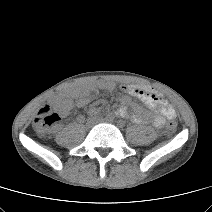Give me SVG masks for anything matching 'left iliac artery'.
I'll return each instance as SVG.
<instances>
[{"label": "left iliac artery", "mask_w": 212, "mask_h": 212, "mask_svg": "<svg viewBox=\"0 0 212 212\" xmlns=\"http://www.w3.org/2000/svg\"><path fill=\"white\" fill-rule=\"evenodd\" d=\"M118 125H119L120 127H123V126L125 125V123H124L123 121L120 120V121L118 122Z\"/></svg>", "instance_id": "left-iliac-artery-1"}]
</instances>
